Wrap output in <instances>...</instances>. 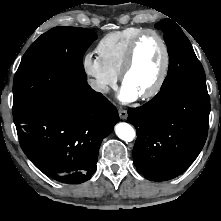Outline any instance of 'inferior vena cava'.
I'll return each instance as SVG.
<instances>
[{
    "mask_svg": "<svg viewBox=\"0 0 221 221\" xmlns=\"http://www.w3.org/2000/svg\"><path fill=\"white\" fill-rule=\"evenodd\" d=\"M90 86L95 91H99V92H108L109 91V87L105 83L98 81V80L91 79Z\"/></svg>",
    "mask_w": 221,
    "mask_h": 221,
    "instance_id": "inferior-vena-cava-1",
    "label": "inferior vena cava"
}]
</instances>
